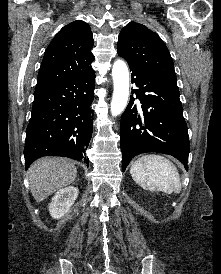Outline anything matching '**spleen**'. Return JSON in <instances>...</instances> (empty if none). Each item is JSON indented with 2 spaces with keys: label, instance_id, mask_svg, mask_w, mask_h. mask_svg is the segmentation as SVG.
<instances>
[{
  "label": "spleen",
  "instance_id": "1",
  "mask_svg": "<svg viewBox=\"0 0 221 274\" xmlns=\"http://www.w3.org/2000/svg\"><path fill=\"white\" fill-rule=\"evenodd\" d=\"M133 180L148 191L167 194L181 192L180 176L175 165L160 155H144L130 168Z\"/></svg>",
  "mask_w": 221,
  "mask_h": 274
}]
</instances>
